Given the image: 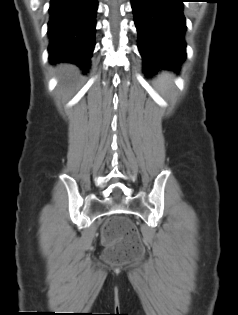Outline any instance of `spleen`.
<instances>
[{
	"label": "spleen",
	"mask_w": 238,
	"mask_h": 315,
	"mask_svg": "<svg viewBox=\"0 0 238 315\" xmlns=\"http://www.w3.org/2000/svg\"><path fill=\"white\" fill-rule=\"evenodd\" d=\"M172 77L173 75L168 72H162L159 74L155 82L157 90L164 93L171 89L173 86Z\"/></svg>",
	"instance_id": "3e777b00"
}]
</instances>
